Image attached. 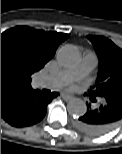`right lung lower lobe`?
<instances>
[{
    "label": "right lung lower lobe",
    "instance_id": "1",
    "mask_svg": "<svg viewBox=\"0 0 122 154\" xmlns=\"http://www.w3.org/2000/svg\"><path fill=\"white\" fill-rule=\"evenodd\" d=\"M57 95V92L46 96L40 90L25 91L1 107V118L14 127L36 124L44 118L47 105Z\"/></svg>",
    "mask_w": 122,
    "mask_h": 154
}]
</instances>
